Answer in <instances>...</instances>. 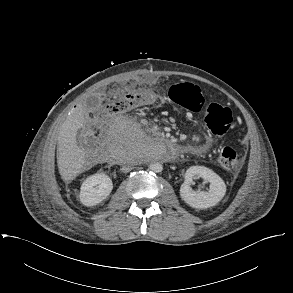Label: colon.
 Instances as JSON below:
<instances>
[{
	"label": "colon",
	"mask_w": 293,
	"mask_h": 293,
	"mask_svg": "<svg viewBox=\"0 0 293 293\" xmlns=\"http://www.w3.org/2000/svg\"><path fill=\"white\" fill-rule=\"evenodd\" d=\"M171 101L182 108L193 112H200L204 106L201 89L192 83H182L172 87L170 91ZM155 98L150 91L136 90L107 104L98 115L100 119L107 115L128 112L141 107L149 106ZM207 128L215 135H224L231 127L232 112L229 108L212 103L208 106L205 115ZM216 158L225 169L236 171L241 164V158L237 151L230 146H221L216 150Z\"/></svg>",
	"instance_id": "5ec220e1"
}]
</instances>
